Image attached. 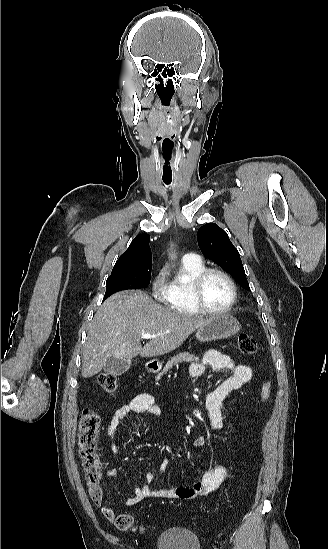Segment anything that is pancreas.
Returning <instances> with one entry per match:
<instances>
[{
	"mask_svg": "<svg viewBox=\"0 0 328 549\" xmlns=\"http://www.w3.org/2000/svg\"><path fill=\"white\" fill-rule=\"evenodd\" d=\"M191 363V361H199L198 357H195V355H189V353H179V355H175V357H171L170 361H167L164 369H162L161 373H158L157 377H155L156 381H160L161 377L169 371V369H172L173 365H178V363Z\"/></svg>",
	"mask_w": 328,
	"mask_h": 549,
	"instance_id": "obj_1",
	"label": "pancreas"
}]
</instances>
